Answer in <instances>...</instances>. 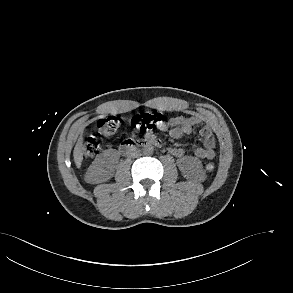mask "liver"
Returning <instances> with one entry per match:
<instances>
[{"instance_id": "1", "label": "liver", "mask_w": 293, "mask_h": 293, "mask_svg": "<svg viewBox=\"0 0 293 293\" xmlns=\"http://www.w3.org/2000/svg\"><path fill=\"white\" fill-rule=\"evenodd\" d=\"M83 154H84L83 137L82 135H80L73 151L74 162L77 168L81 167Z\"/></svg>"}]
</instances>
